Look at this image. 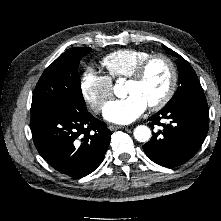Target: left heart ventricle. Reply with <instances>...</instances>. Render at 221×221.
<instances>
[{
	"label": "left heart ventricle",
	"instance_id": "obj_1",
	"mask_svg": "<svg viewBox=\"0 0 221 221\" xmlns=\"http://www.w3.org/2000/svg\"><path fill=\"white\" fill-rule=\"evenodd\" d=\"M170 83V69L161 59L154 60L145 75L138 82L128 81L126 94H136L148 105L157 102L167 91Z\"/></svg>",
	"mask_w": 221,
	"mask_h": 221
}]
</instances>
